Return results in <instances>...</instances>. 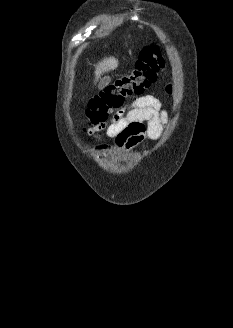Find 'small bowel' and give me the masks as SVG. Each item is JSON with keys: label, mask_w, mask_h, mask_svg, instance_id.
I'll return each instance as SVG.
<instances>
[{"label": "small bowel", "mask_w": 233, "mask_h": 328, "mask_svg": "<svg viewBox=\"0 0 233 328\" xmlns=\"http://www.w3.org/2000/svg\"><path fill=\"white\" fill-rule=\"evenodd\" d=\"M167 112L161 102L154 96L137 98L132 103L121 107L109 123H100L88 130L91 137L105 130L113 139V144H100L98 151L114 152L118 149L130 151L140 145L145 138L157 139L163 125L167 122Z\"/></svg>", "instance_id": "small-bowel-1"}]
</instances>
